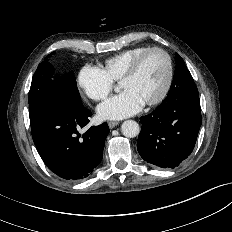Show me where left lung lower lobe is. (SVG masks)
I'll return each instance as SVG.
<instances>
[{"instance_id": "1", "label": "left lung lower lobe", "mask_w": 232, "mask_h": 232, "mask_svg": "<svg viewBox=\"0 0 232 232\" xmlns=\"http://www.w3.org/2000/svg\"><path fill=\"white\" fill-rule=\"evenodd\" d=\"M140 120L137 149L141 157L158 168H175L194 149L202 123L199 96L168 94Z\"/></svg>"}]
</instances>
